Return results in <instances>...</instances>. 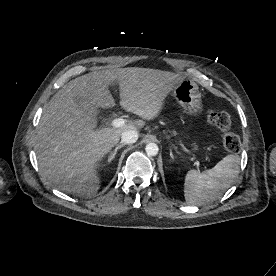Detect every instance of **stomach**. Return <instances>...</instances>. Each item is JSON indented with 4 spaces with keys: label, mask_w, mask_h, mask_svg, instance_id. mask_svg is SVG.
<instances>
[{
    "label": "stomach",
    "mask_w": 276,
    "mask_h": 276,
    "mask_svg": "<svg viewBox=\"0 0 276 276\" xmlns=\"http://www.w3.org/2000/svg\"><path fill=\"white\" fill-rule=\"evenodd\" d=\"M172 95L183 107L185 113L198 115L203 104L198 85L191 79L184 78L172 91Z\"/></svg>",
    "instance_id": "0dacf381"
}]
</instances>
